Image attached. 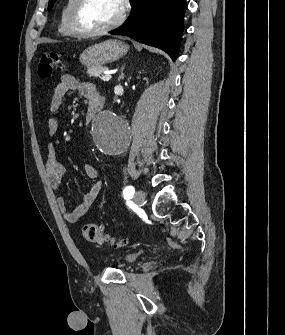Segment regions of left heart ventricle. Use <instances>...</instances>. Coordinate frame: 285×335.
<instances>
[{
    "label": "left heart ventricle",
    "mask_w": 285,
    "mask_h": 335,
    "mask_svg": "<svg viewBox=\"0 0 285 335\" xmlns=\"http://www.w3.org/2000/svg\"><path fill=\"white\" fill-rule=\"evenodd\" d=\"M117 14V1H89L84 7L81 21L89 29H101Z\"/></svg>",
    "instance_id": "b2bd125f"
}]
</instances>
